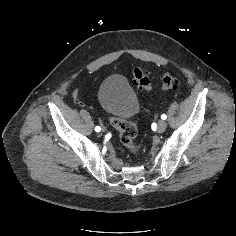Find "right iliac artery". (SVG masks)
Listing matches in <instances>:
<instances>
[{"mask_svg":"<svg viewBox=\"0 0 236 236\" xmlns=\"http://www.w3.org/2000/svg\"><path fill=\"white\" fill-rule=\"evenodd\" d=\"M95 131H96V132H100V131H101V130H100V126H96V127H95Z\"/></svg>","mask_w":236,"mask_h":236,"instance_id":"1","label":"right iliac artery"}]
</instances>
